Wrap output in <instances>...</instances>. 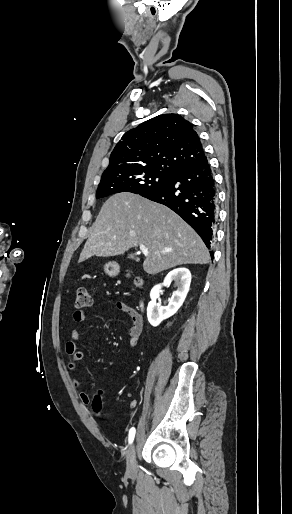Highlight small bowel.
<instances>
[{"instance_id": "c3829d8e", "label": "small bowel", "mask_w": 292, "mask_h": 514, "mask_svg": "<svg viewBox=\"0 0 292 514\" xmlns=\"http://www.w3.org/2000/svg\"><path fill=\"white\" fill-rule=\"evenodd\" d=\"M102 305H108V306L115 307L117 310L125 313L126 315H128L131 318L132 325L129 327L127 335L129 337L131 346L136 347L138 345V341L141 336L142 328H143V319L138 314V312L135 311L127 303L120 301V300H114L109 297H97L91 301V306H102ZM87 316L88 315H87L86 310L78 309V310H75L73 313V320L76 323H81L87 319ZM80 343H81L80 332L77 328H73L70 332V340L67 341L66 346H65L66 354L71 357V359L67 365L69 372L75 371L77 363L79 361L83 360V358H84V354L78 350ZM91 344L93 346H99L100 342L98 339H94L91 342ZM71 382L75 388L80 387V381L77 378L72 377ZM124 396L126 398H130L131 405L136 404V401L133 400V397H131L132 393L130 391H126L124 393ZM79 399L83 404H87L89 402V395L86 392L81 391V392H79ZM87 408L89 409L90 407L88 406Z\"/></svg>"}]
</instances>
